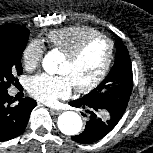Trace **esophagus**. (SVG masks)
<instances>
[{
	"instance_id": "34e87169",
	"label": "esophagus",
	"mask_w": 153,
	"mask_h": 153,
	"mask_svg": "<svg viewBox=\"0 0 153 153\" xmlns=\"http://www.w3.org/2000/svg\"><path fill=\"white\" fill-rule=\"evenodd\" d=\"M50 111L52 114H55V115H58L62 112L61 110H56V109H51Z\"/></svg>"
}]
</instances>
